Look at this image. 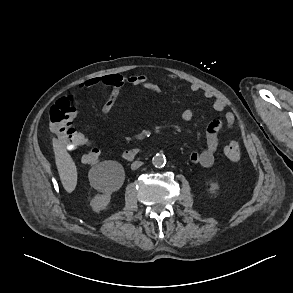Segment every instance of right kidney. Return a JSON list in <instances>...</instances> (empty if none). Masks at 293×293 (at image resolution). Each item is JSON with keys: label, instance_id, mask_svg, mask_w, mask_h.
Listing matches in <instances>:
<instances>
[{"label": "right kidney", "instance_id": "ca27d5eb", "mask_svg": "<svg viewBox=\"0 0 293 293\" xmlns=\"http://www.w3.org/2000/svg\"><path fill=\"white\" fill-rule=\"evenodd\" d=\"M104 177L102 183L98 186V190L103 194H97L91 200V207L98 212L106 208L110 202L111 193L118 190L125 179V173L122 165L116 161L103 162Z\"/></svg>", "mask_w": 293, "mask_h": 293}]
</instances>
